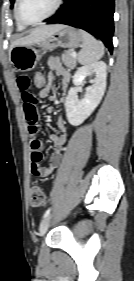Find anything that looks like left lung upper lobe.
I'll return each mask as SVG.
<instances>
[{
    "label": "left lung upper lobe",
    "mask_w": 134,
    "mask_h": 281,
    "mask_svg": "<svg viewBox=\"0 0 134 281\" xmlns=\"http://www.w3.org/2000/svg\"><path fill=\"white\" fill-rule=\"evenodd\" d=\"M10 1H11L12 5H13V3H14V0H10Z\"/></svg>",
    "instance_id": "1"
}]
</instances>
